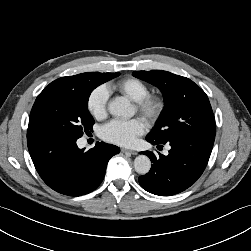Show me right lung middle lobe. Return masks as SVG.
Wrapping results in <instances>:
<instances>
[{
    "instance_id": "right-lung-middle-lobe-1",
    "label": "right lung middle lobe",
    "mask_w": 251,
    "mask_h": 251,
    "mask_svg": "<svg viewBox=\"0 0 251 251\" xmlns=\"http://www.w3.org/2000/svg\"><path fill=\"white\" fill-rule=\"evenodd\" d=\"M120 73H82L72 86H47L32 107L28 129L78 139L92 131L94 119L88 111L90 93Z\"/></svg>"
}]
</instances>
